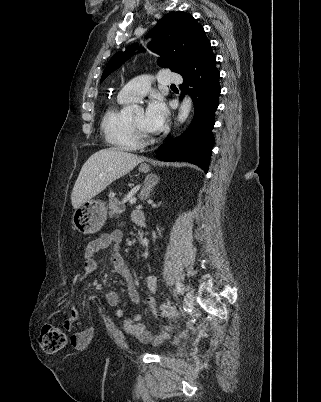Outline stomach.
Segmentation results:
<instances>
[{"instance_id": "0dacf381", "label": "stomach", "mask_w": 321, "mask_h": 402, "mask_svg": "<svg viewBox=\"0 0 321 402\" xmlns=\"http://www.w3.org/2000/svg\"><path fill=\"white\" fill-rule=\"evenodd\" d=\"M139 170L143 173H147L149 171V165L141 164ZM106 219V204L97 199H90L75 210L72 217V224L80 233L94 234L102 228Z\"/></svg>"}]
</instances>
